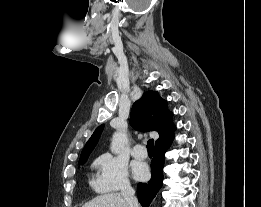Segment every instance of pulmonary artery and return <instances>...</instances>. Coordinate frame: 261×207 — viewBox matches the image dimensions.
Instances as JSON below:
<instances>
[{"label":"pulmonary artery","instance_id":"obj_1","mask_svg":"<svg viewBox=\"0 0 261 207\" xmlns=\"http://www.w3.org/2000/svg\"><path fill=\"white\" fill-rule=\"evenodd\" d=\"M132 155L138 159H145L147 157V151L142 144H137L132 150Z\"/></svg>","mask_w":261,"mask_h":207}]
</instances>
